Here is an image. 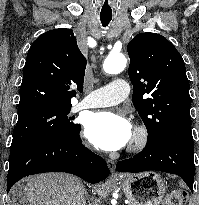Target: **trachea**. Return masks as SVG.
Here are the masks:
<instances>
[{"label":"trachea","instance_id":"1","mask_svg":"<svg viewBox=\"0 0 199 205\" xmlns=\"http://www.w3.org/2000/svg\"><path fill=\"white\" fill-rule=\"evenodd\" d=\"M112 17H104V16H100V20L101 23L104 27L108 26V24L110 23Z\"/></svg>","mask_w":199,"mask_h":205}]
</instances>
